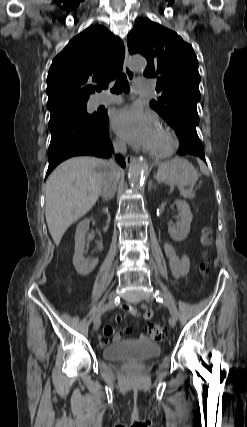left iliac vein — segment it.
Returning a JSON list of instances; mask_svg holds the SVG:
<instances>
[{
    "instance_id": "4c4485c4",
    "label": "left iliac vein",
    "mask_w": 247,
    "mask_h": 427,
    "mask_svg": "<svg viewBox=\"0 0 247 427\" xmlns=\"http://www.w3.org/2000/svg\"><path fill=\"white\" fill-rule=\"evenodd\" d=\"M153 299H154V295L152 294V293H150V294H148L146 297H145V300H146V302H152L153 301ZM176 322H177V318L176 317H174L173 315H171L170 316V318H169V324H170V326L172 327V328H174L175 326H176Z\"/></svg>"
}]
</instances>
